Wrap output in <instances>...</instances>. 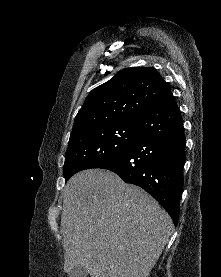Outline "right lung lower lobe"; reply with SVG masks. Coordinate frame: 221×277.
<instances>
[{"label": "right lung lower lobe", "mask_w": 221, "mask_h": 277, "mask_svg": "<svg viewBox=\"0 0 221 277\" xmlns=\"http://www.w3.org/2000/svg\"><path fill=\"white\" fill-rule=\"evenodd\" d=\"M185 157L183 122L171 98L137 120V134L125 154L99 168L146 190L177 225Z\"/></svg>", "instance_id": "98d812e1"}]
</instances>
